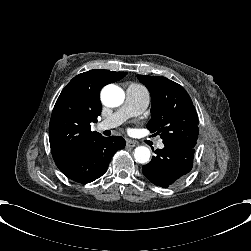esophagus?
I'll return each instance as SVG.
<instances>
[{
    "mask_svg": "<svg viewBox=\"0 0 251 251\" xmlns=\"http://www.w3.org/2000/svg\"><path fill=\"white\" fill-rule=\"evenodd\" d=\"M126 145H127L128 147H135V146H138L139 143H138L137 141L128 139L127 142H126Z\"/></svg>",
    "mask_w": 251,
    "mask_h": 251,
    "instance_id": "obj_1",
    "label": "esophagus"
}]
</instances>
